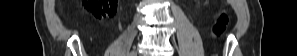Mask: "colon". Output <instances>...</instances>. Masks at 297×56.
Returning a JSON list of instances; mask_svg holds the SVG:
<instances>
[{"instance_id":"1","label":"colon","mask_w":297,"mask_h":56,"mask_svg":"<svg viewBox=\"0 0 297 56\" xmlns=\"http://www.w3.org/2000/svg\"><path fill=\"white\" fill-rule=\"evenodd\" d=\"M83 6L90 10L98 19L111 17L115 12L116 0H86ZM228 15L221 13L216 20L213 32L216 36H220L226 29L228 23Z\"/></svg>"}]
</instances>
